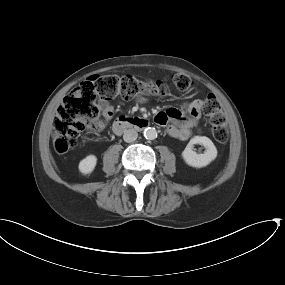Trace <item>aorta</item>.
Segmentation results:
<instances>
[{"label": "aorta", "mask_w": 285, "mask_h": 285, "mask_svg": "<svg viewBox=\"0 0 285 285\" xmlns=\"http://www.w3.org/2000/svg\"><path fill=\"white\" fill-rule=\"evenodd\" d=\"M144 137L148 140H154L157 138V131L153 127H147L144 129Z\"/></svg>", "instance_id": "762f6f07"}]
</instances>
